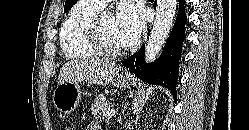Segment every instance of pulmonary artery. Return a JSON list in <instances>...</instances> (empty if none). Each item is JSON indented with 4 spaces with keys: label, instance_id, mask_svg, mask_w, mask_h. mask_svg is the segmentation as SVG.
I'll return each mask as SVG.
<instances>
[{
    "label": "pulmonary artery",
    "instance_id": "obj_1",
    "mask_svg": "<svg viewBox=\"0 0 249 130\" xmlns=\"http://www.w3.org/2000/svg\"><path fill=\"white\" fill-rule=\"evenodd\" d=\"M91 1L100 7H104L106 3L110 0H91Z\"/></svg>",
    "mask_w": 249,
    "mask_h": 130
}]
</instances>
